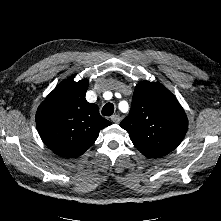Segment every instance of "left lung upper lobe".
<instances>
[{"label":"left lung upper lobe","mask_w":221,"mask_h":221,"mask_svg":"<svg viewBox=\"0 0 221 221\" xmlns=\"http://www.w3.org/2000/svg\"><path fill=\"white\" fill-rule=\"evenodd\" d=\"M141 153L167 155L183 140L188 120L176 97L163 85L143 81L136 85L130 114L120 123Z\"/></svg>","instance_id":"obj_1"}]
</instances>
